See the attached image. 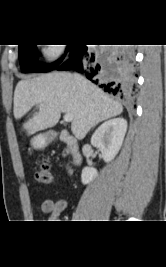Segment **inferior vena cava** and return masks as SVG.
<instances>
[{
  "mask_svg": "<svg viewBox=\"0 0 166 267\" xmlns=\"http://www.w3.org/2000/svg\"><path fill=\"white\" fill-rule=\"evenodd\" d=\"M75 78H76L77 80H79V79H80V77H79L78 75H75Z\"/></svg>",
  "mask_w": 166,
  "mask_h": 267,
  "instance_id": "inferior-vena-cava-1",
  "label": "inferior vena cava"
}]
</instances>
